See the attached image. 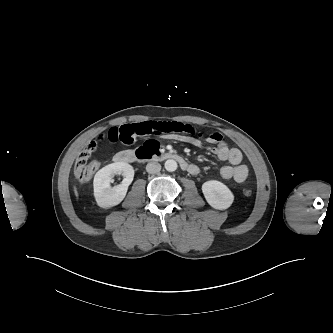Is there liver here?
<instances>
[{"label":"liver","mask_w":333,"mask_h":333,"mask_svg":"<svg viewBox=\"0 0 333 333\" xmlns=\"http://www.w3.org/2000/svg\"><path fill=\"white\" fill-rule=\"evenodd\" d=\"M74 193H75L76 197H78V196H79V194H78V191H77L76 187H74Z\"/></svg>","instance_id":"liver-1"}]
</instances>
